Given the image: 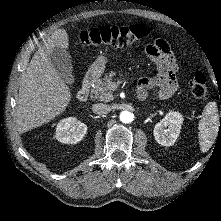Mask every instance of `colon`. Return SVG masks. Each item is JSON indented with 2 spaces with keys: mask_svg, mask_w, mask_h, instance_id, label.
Segmentation results:
<instances>
[{
  "mask_svg": "<svg viewBox=\"0 0 221 221\" xmlns=\"http://www.w3.org/2000/svg\"><path fill=\"white\" fill-rule=\"evenodd\" d=\"M149 35V30L144 24L130 26L110 27L101 26L82 31L77 43L79 45L107 46L112 48L128 47ZM190 90L194 97L203 99L208 95L206 78L197 72L190 82Z\"/></svg>",
  "mask_w": 221,
  "mask_h": 221,
  "instance_id": "colon-1",
  "label": "colon"
}]
</instances>
